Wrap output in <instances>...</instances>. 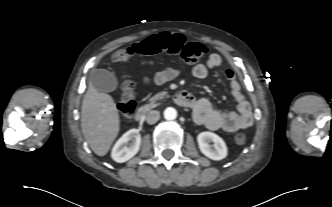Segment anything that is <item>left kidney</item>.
Masks as SVG:
<instances>
[{
    "instance_id": "1",
    "label": "left kidney",
    "mask_w": 332,
    "mask_h": 207,
    "mask_svg": "<svg viewBox=\"0 0 332 207\" xmlns=\"http://www.w3.org/2000/svg\"><path fill=\"white\" fill-rule=\"evenodd\" d=\"M212 141L213 145L209 142ZM200 151L212 160H222L227 156V147L224 140L212 132H201L197 136Z\"/></svg>"
}]
</instances>
